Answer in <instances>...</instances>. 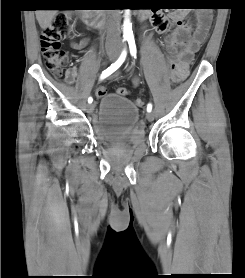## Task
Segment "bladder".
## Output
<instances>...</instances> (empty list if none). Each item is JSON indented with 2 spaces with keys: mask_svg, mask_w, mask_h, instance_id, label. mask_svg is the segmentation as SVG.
Returning <instances> with one entry per match:
<instances>
[{
  "mask_svg": "<svg viewBox=\"0 0 245 278\" xmlns=\"http://www.w3.org/2000/svg\"><path fill=\"white\" fill-rule=\"evenodd\" d=\"M93 127L97 140L105 145L135 147L145 141L138 107L115 93L102 97Z\"/></svg>",
  "mask_w": 245,
  "mask_h": 278,
  "instance_id": "31cf9c89",
  "label": "bladder"
}]
</instances>
